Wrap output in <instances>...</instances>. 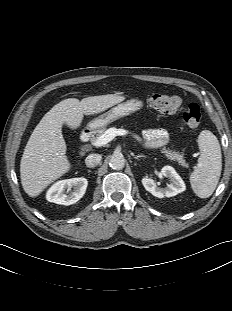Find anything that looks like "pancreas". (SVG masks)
<instances>
[{"mask_svg":"<svg viewBox=\"0 0 232 311\" xmlns=\"http://www.w3.org/2000/svg\"><path fill=\"white\" fill-rule=\"evenodd\" d=\"M107 130L108 129L106 127H103L98 132H96V135H93L90 139L91 143L94 144L96 140ZM161 153H163L168 159L178 162L181 166H186L184 155L182 153L166 148H162Z\"/></svg>","mask_w":232,"mask_h":311,"instance_id":"obj_1","label":"pancreas"}]
</instances>
